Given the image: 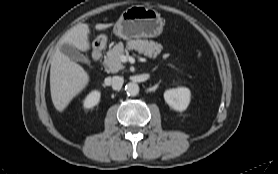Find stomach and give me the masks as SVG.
<instances>
[{
  "instance_id": "0dacf381",
  "label": "stomach",
  "mask_w": 278,
  "mask_h": 174,
  "mask_svg": "<svg viewBox=\"0 0 278 174\" xmlns=\"http://www.w3.org/2000/svg\"><path fill=\"white\" fill-rule=\"evenodd\" d=\"M163 19L154 10L142 5L127 8L114 26V34L122 39L153 38L162 33Z\"/></svg>"
}]
</instances>
